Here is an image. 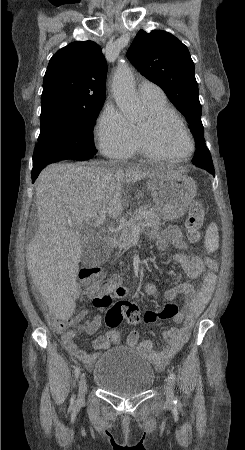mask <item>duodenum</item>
Here are the masks:
<instances>
[{"instance_id": "410a0bca", "label": "duodenum", "mask_w": 245, "mask_h": 450, "mask_svg": "<svg viewBox=\"0 0 245 450\" xmlns=\"http://www.w3.org/2000/svg\"><path fill=\"white\" fill-rule=\"evenodd\" d=\"M108 244L112 249H116L118 247V241L115 238H109Z\"/></svg>"}]
</instances>
